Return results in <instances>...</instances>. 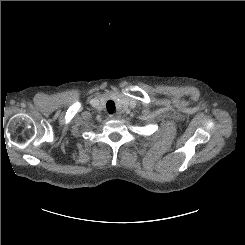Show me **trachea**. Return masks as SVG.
<instances>
[{"mask_svg": "<svg viewBox=\"0 0 245 245\" xmlns=\"http://www.w3.org/2000/svg\"><path fill=\"white\" fill-rule=\"evenodd\" d=\"M106 107H107V110H108V112L110 114L114 113V111H115V103L112 100L107 102Z\"/></svg>", "mask_w": 245, "mask_h": 245, "instance_id": "1", "label": "trachea"}]
</instances>
